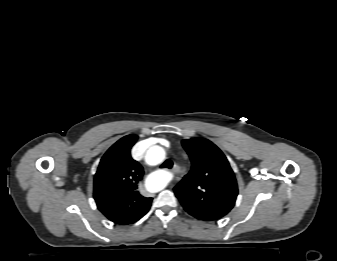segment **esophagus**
<instances>
[{
    "label": "esophagus",
    "mask_w": 337,
    "mask_h": 261,
    "mask_svg": "<svg viewBox=\"0 0 337 261\" xmlns=\"http://www.w3.org/2000/svg\"><path fill=\"white\" fill-rule=\"evenodd\" d=\"M177 169H178L177 166H174V167H173V171H174V172H176Z\"/></svg>",
    "instance_id": "obj_1"
}]
</instances>
